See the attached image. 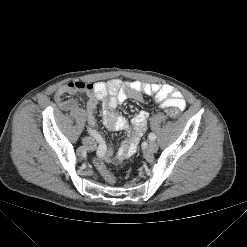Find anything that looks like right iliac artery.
Returning <instances> with one entry per match:
<instances>
[{
    "mask_svg": "<svg viewBox=\"0 0 247 247\" xmlns=\"http://www.w3.org/2000/svg\"><path fill=\"white\" fill-rule=\"evenodd\" d=\"M87 131L92 137H94L99 142V146L96 148L97 155L100 157L105 156L107 153V148L105 147V143L102 137L98 134V132L91 128H87Z\"/></svg>",
    "mask_w": 247,
    "mask_h": 247,
    "instance_id": "right-iliac-artery-1",
    "label": "right iliac artery"
}]
</instances>
